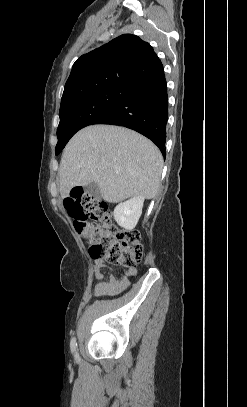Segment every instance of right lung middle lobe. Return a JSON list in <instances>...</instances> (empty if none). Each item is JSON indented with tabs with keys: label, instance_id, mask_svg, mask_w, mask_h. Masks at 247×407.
<instances>
[{
	"label": "right lung middle lobe",
	"instance_id": "1",
	"mask_svg": "<svg viewBox=\"0 0 247 407\" xmlns=\"http://www.w3.org/2000/svg\"><path fill=\"white\" fill-rule=\"evenodd\" d=\"M133 90V88L125 86L110 87L61 106L56 155L63 150L77 131L93 124L130 95Z\"/></svg>",
	"mask_w": 247,
	"mask_h": 407
}]
</instances>
